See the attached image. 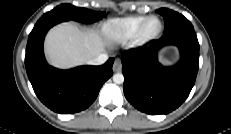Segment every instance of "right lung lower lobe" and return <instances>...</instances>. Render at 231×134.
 Wrapping results in <instances>:
<instances>
[{
    "label": "right lung lower lobe",
    "instance_id": "right-lung-lower-lobe-1",
    "mask_svg": "<svg viewBox=\"0 0 231 134\" xmlns=\"http://www.w3.org/2000/svg\"><path fill=\"white\" fill-rule=\"evenodd\" d=\"M60 21L36 23L26 47L25 66L34 92L51 110L72 114L88 108L101 86L113 74V58L102 66H80L59 70L49 66L43 53L47 31Z\"/></svg>",
    "mask_w": 231,
    "mask_h": 134
}]
</instances>
